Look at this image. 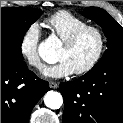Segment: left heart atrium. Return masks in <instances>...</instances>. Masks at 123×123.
<instances>
[{"label":"left heart atrium","instance_id":"39dd6f15","mask_svg":"<svg viewBox=\"0 0 123 123\" xmlns=\"http://www.w3.org/2000/svg\"><path fill=\"white\" fill-rule=\"evenodd\" d=\"M73 67L65 60H59L57 63L47 67L43 74L49 78H62L73 74Z\"/></svg>","mask_w":123,"mask_h":123}]
</instances>
